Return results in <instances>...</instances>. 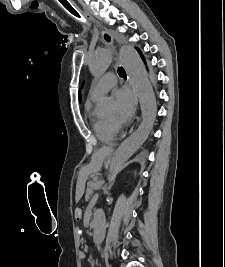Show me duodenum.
Segmentation results:
<instances>
[{"instance_id":"410a0bca","label":"duodenum","mask_w":225,"mask_h":267,"mask_svg":"<svg viewBox=\"0 0 225 267\" xmlns=\"http://www.w3.org/2000/svg\"><path fill=\"white\" fill-rule=\"evenodd\" d=\"M91 227L93 229H98L100 227V221L98 219H94L91 221Z\"/></svg>"}]
</instances>
